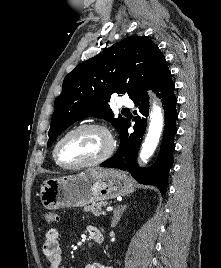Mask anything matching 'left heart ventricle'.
Instances as JSON below:
<instances>
[{
    "mask_svg": "<svg viewBox=\"0 0 221 268\" xmlns=\"http://www.w3.org/2000/svg\"><path fill=\"white\" fill-rule=\"evenodd\" d=\"M108 140L96 129H82L69 135L60 145L58 157L68 165L91 161L105 152Z\"/></svg>",
    "mask_w": 221,
    "mask_h": 268,
    "instance_id": "1",
    "label": "left heart ventricle"
}]
</instances>
